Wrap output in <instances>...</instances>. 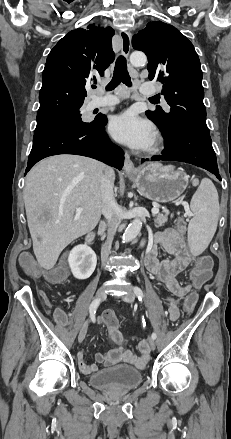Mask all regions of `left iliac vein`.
I'll return each mask as SVG.
<instances>
[{
    "mask_svg": "<svg viewBox=\"0 0 231 439\" xmlns=\"http://www.w3.org/2000/svg\"><path fill=\"white\" fill-rule=\"evenodd\" d=\"M121 298H122L123 301L132 304V303L135 301V294H134L132 291L129 290V291H128L125 295H123ZM149 344H150V348H151L152 350H154V349H155V346H156L154 339L150 338V339H149Z\"/></svg>",
    "mask_w": 231,
    "mask_h": 439,
    "instance_id": "4c4485c4",
    "label": "left iliac vein"
}]
</instances>
